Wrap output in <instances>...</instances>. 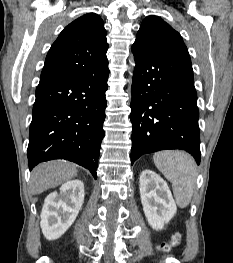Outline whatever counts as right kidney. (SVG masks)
<instances>
[{
  "label": "right kidney",
  "mask_w": 233,
  "mask_h": 263,
  "mask_svg": "<svg viewBox=\"0 0 233 263\" xmlns=\"http://www.w3.org/2000/svg\"><path fill=\"white\" fill-rule=\"evenodd\" d=\"M84 184L70 180L60 187V194L50 193L44 201L40 226L48 240L61 237L75 221L84 202Z\"/></svg>",
  "instance_id": "right-kidney-1"
}]
</instances>
